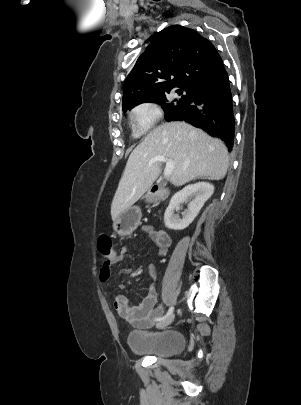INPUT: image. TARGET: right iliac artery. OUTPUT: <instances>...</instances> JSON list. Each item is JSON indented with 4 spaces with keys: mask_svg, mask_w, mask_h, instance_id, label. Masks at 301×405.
Instances as JSON below:
<instances>
[{
    "mask_svg": "<svg viewBox=\"0 0 301 405\" xmlns=\"http://www.w3.org/2000/svg\"><path fill=\"white\" fill-rule=\"evenodd\" d=\"M173 310H174V308H173V306H171L163 317H158L155 319V321H161V320L167 318L168 316H170L173 313Z\"/></svg>",
    "mask_w": 301,
    "mask_h": 405,
    "instance_id": "obj_1",
    "label": "right iliac artery"
}]
</instances>
